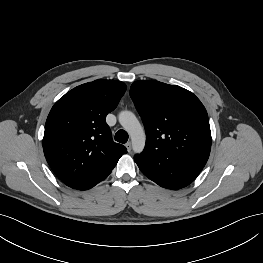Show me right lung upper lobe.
Returning a JSON list of instances; mask_svg holds the SVG:
<instances>
[{
    "label": "right lung upper lobe",
    "instance_id": "right-lung-upper-lobe-1",
    "mask_svg": "<svg viewBox=\"0 0 263 263\" xmlns=\"http://www.w3.org/2000/svg\"><path fill=\"white\" fill-rule=\"evenodd\" d=\"M127 86L120 81L96 80L75 87L52 107L45 124L44 155L67 186L85 189L106 178L125 146L112 140L106 116Z\"/></svg>",
    "mask_w": 263,
    "mask_h": 263
}]
</instances>
